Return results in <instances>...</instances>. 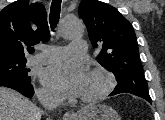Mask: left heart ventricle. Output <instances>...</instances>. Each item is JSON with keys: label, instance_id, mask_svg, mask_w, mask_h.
I'll list each match as a JSON object with an SVG mask.
<instances>
[{"label": "left heart ventricle", "instance_id": "b2bd125f", "mask_svg": "<svg viewBox=\"0 0 165 120\" xmlns=\"http://www.w3.org/2000/svg\"><path fill=\"white\" fill-rule=\"evenodd\" d=\"M104 86V80L92 73H89L87 81L80 93V97H87L98 93Z\"/></svg>", "mask_w": 165, "mask_h": 120}]
</instances>
